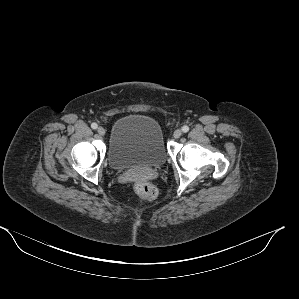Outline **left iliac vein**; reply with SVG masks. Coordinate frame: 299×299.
Wrapping results in <instances>:
<instances>
[{"label":"left iliac vein","mask_w":299,"mask_h":299,"mask_svg":"<svg viewBox=\"0 0 299 299\" xmlns=\"http://www.w3.org/2000/svg\"><path fill=\"white\" fill-rule=\"evenodd\" d=\"M182 135L181 129H176L173 133L174 138H179Z\"/></svg>","instance_id":"obj_1"}]
</instances>
